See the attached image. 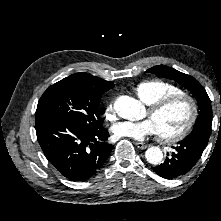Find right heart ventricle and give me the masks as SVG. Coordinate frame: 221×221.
Returning a JSON list of instances; mask_svg holds the SVG:
<instances>
[{"instance_id": "obj_1", "label": "right heart ventricle", "mask_w": 221, "mask_h": 221, "mask_svg": "<svg viewBox=\"0 0 221 221\" xmlns=\"http://www.w3.org/2000/svg\"><path fill=\"white\" fill-rule=\"evenodd\" d=\"M135 93L144 103L151 105L161 98L182 94L176 85L164 80L154 79L142 81L135 87Z\"/></svg>"}]
</instances>
